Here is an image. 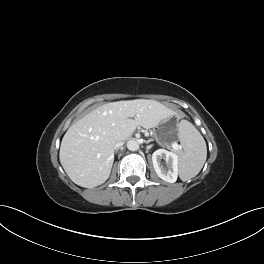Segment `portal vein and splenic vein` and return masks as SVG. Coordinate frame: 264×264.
I'll list each match as a JSON object with an SVG mask.
<instances>
[{
    "mask_svg": "<svg viewBox=\"0 0 264 264\" xmlns=\"http://www.w3.org/2000/svg\"><path fill=\"white\" fill-rule=\"evenodd\" d=\"M171 146L174 150H178L180 148V146L177 143H173Z\"/></svg>",
    "mask_w": 264,
    "mask_h": 264,
    "instance_id": "18ae733b",
    "label": "portal vein and splenic vein"
}]
</instances>
